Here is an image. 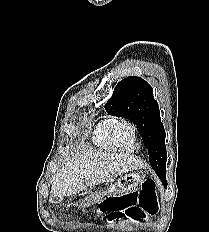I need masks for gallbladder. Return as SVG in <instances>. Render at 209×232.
Returning <instances> with one entry per match:
<instances>
[{
  "instance_id": "1",
  "label": "gallbladder",
  "mask_w": 209,
  "mask_h": 232,
  "mask_svg": "<svg viewBox=\"0 0 209 232\" xmlns=\"http://www.w3.org/2000/svg\"><path fill=\"white\" fill-rule=\"evenodd\" d=\"M61 201H62V197H54V198L51 200V202H52L53 204L61 203Z\"/></svg>"
}]
</instances>
